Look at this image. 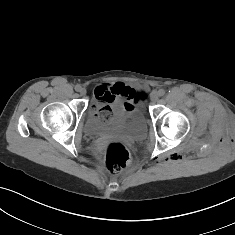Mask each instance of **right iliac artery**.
Instances as JSON below:
<instances>
[{
	"instance_id": "right-iliac-artery-1",
	"label": "right iliac artery",
	"mask_w": 235,
	"mask_h": 235,
	"mask_svg": "<svg viewBox=\"0 0 235 235\" xmlns=\"http://www.w3.org/2000/svg\"><path fill=\"white\" fill-rule=\"evenodd\" d=\"M81 89V86L79 85V84H77L76 86H75V90L76 91H79Z\"/></svg>"
}]
</instances>
